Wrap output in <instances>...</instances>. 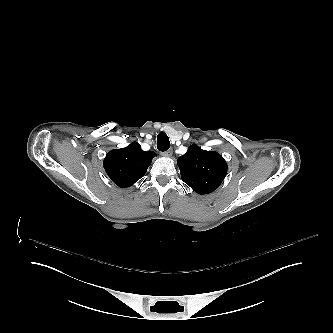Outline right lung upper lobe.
Instances as JSON below:
<instances>
[{
  "instance_id": "right-lung-upper-lobe-1",
  "label": "right lung upper lobe",
  "mask_w": 333,
  "mask_h": 333,
  "mask_svg": "<svg viewBox=\"0 0 333 333\" xmlns=\"http://www.w3.org/2000/svg\"><path fill=\"white\" fill-rule=\"evenodd\" d=\"M155 152H145L137 142L111 150L103 165L111 180L121 188L132 186L146 173Z\"/></svg>"
}]
</instances>
